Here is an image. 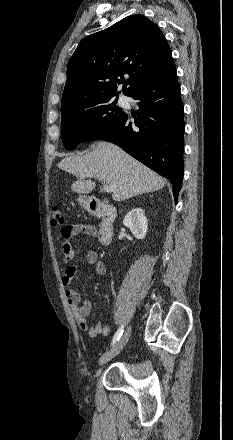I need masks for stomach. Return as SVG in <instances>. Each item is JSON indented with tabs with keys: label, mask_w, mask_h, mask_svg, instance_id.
<instances>
[{
	"label": "stomach",
	"mask_w": 233,
	"mask_h": 440,
	"mask_svg": "<svg viewBox=\"0 0 233 440\" xmlns=\"http://www.w3.org/2000/svg\"><path fill=\"white\" fill-rule=\"evenodd\" d=\"M78 203L83 207L84 209H89L90 204V198L87 196H79Z\"/></svg>",
	"instance_id": "obj_1"
}]
</instances>
